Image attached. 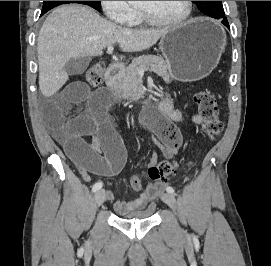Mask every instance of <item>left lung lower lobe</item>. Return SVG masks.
Returning <instances> with one entry per match:
<instances>
[{
	"label": "left lung lower lobe",
	"instance_id": "0a47b994",
	"mask_svg": "<svg viewBox=\"0 0 271 266\" xmlns=\"http://www.w3.org/2000/svg\"><path fill=\"white\" fill-rule=\"evenodd\" d=\"M221 22H222V24H224L226 27L229 28V24H228V21L226 18H223Z\"/></svg>",
	"mask_w": 271,
	"mask_h": 266
}]
</instances>
